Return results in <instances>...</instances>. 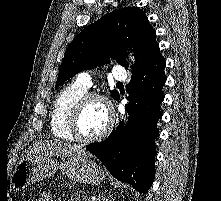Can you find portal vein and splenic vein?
I'll return each mask as SVG.
<instances>
[{
  "instance_id": "1",
  "label": "portal vein and splenic vein",
  "mask_w": 221,
  "mask_h": 201,
  "mask_svg": "<svg viewBox=\"0 0 221 201\" xmlns=\"http://www.w3.org/2000/svg\"><path fill=\"white\" fill-rule=\"evenodd\" d=\"M86 201H91V199L90 198H86Z\"/></svg>"
}]
</instances>
